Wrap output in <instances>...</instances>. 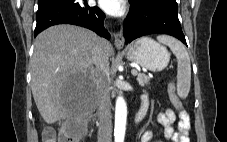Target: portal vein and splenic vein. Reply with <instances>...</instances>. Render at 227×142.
Returning a JSON list of instances; mask_svg holds the SVG:
<instances>
[{
    "mask_svg": "<svg viewBox=\"0 0 227 142\" xmlns=\"http://www.w3.org/2000/svg\"><path fill=\"white\" fill-rule=\"evenodd\" d=\"M131 73H132L133 76H137L138 75V72L136 70H132Z\"/></svg>",
    "mask_w": 227,
    "mask_h": 142,
    "instance_id": "18ae733b",
    "label": "portal vein and splenic vein"
}]
</instances>
